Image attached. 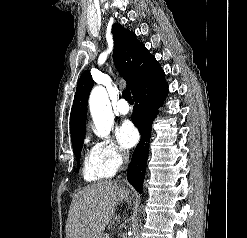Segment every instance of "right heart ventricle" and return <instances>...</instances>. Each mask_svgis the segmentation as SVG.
Instances as JSON below:
<instances>
[{
    "label": "right heart ventricle",
    "instance_id": "e07e8e85",
    "mask_svg": "<svg viewBox=\"0 0 247 238\" xmlns=\"http://www.w3.org/2000/svg\"><path fill=\"white\" fill-rule=\"evenodd\" d=\"M113 171L101 158L95 147L83 156L82 175L86 182H97L113 176Z\"/></svg>",
    "mask_w": 247,
    "mask_h": 238
}]
</instances>
